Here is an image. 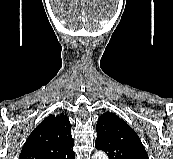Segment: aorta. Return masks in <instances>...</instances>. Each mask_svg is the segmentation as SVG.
<instances>
[{"label":"aorta","instance_id":"762f6f07","mask_svg":"<svg viewBox=\"0 0 173 159\" xmlns=\"http://www.w3.org/2000/svg\"><path fill=\"white\" fill-rule=\"evenodd\" d=\"M92 159H108V156L105 152L97 151L94 153Z\"/></svg>","mask_w":173,"mask_h":159}]
</instances>
